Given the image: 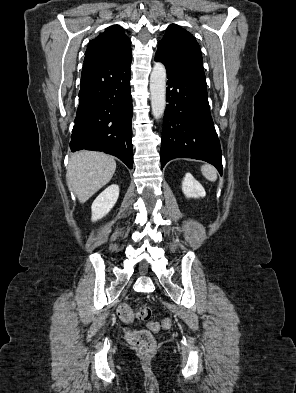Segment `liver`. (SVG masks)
Masks as SVG:
<instances>
[{
	"instance_id": "obj_1",
	"label": "liver",
	"mask_w": 296,
	"mask_h": 393,
	"mask_svg": "<svg viewBox=\"0 0 296 393\" xmlns=\"http://www.w3.org/2000/svg\"><path fill=\"white\" fill-rule=\"evenodd\" d=\"M116 170L115 160L101 152L80 151L70 156L66 179L80 203L106 185Z\"/></svg>"
}]
</instances>
